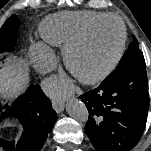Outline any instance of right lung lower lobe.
<instances>
[{
    "label": "right lung lower lobe",
    "mask_w": 151,
    "mask_h": 151,
    "mask_svg": "<svg viewBox=\"0 0 151 151\" xmlns=\"http://www.w3.org/2000/svg\"><path fill=\"white\" fill-rule=\"evenodd\" d=\"M0 122L5 118L18 121L24 128L20 140L7 141L0 138V149L4 151H40L51 132L57 114L39 85H31L11 106L4 105Z\"/></svg>",
    "instance_id": "1"
}]
</instances>
